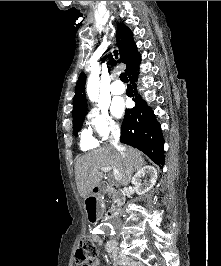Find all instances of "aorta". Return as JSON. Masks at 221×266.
I'll list each match as a JSON object with an SVG mask.
<instances>
[{
  "label": "aorta",
  "instance_id": "aorta-1",
  "mask_svg": "<svg viewBox=\"0 0 221 266\" xmlns=\"http://www.w3.org/2000/svg\"><path fill=\"white\" fill-rule=\"evenodd\" d=\"M99 73L98 66H94L91 69V74L87 80L86 92L91 101H96L99 93Z\"/></svg>",
  "mask_w": 221,
  "mask_h": 266
}]
</instances>
